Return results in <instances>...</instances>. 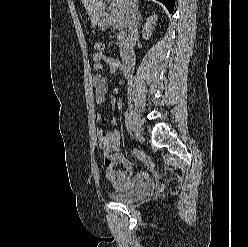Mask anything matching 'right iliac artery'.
<instances>
[{
    "instance_id": "82829eb1",
    "label": "right iliac artery",
    "mask_w": 248,
    "mask_h": 247,
    "mask_svg": "<svg viewBox=\"0 0 248 247\" xmlns=\"http://www.w3.org/2000/svg\"><path fill=\"white\" fill-rule=\"evenodd\" d=\"M125 124H126L127 132L131 134V130H132L131 119H130V115L127 112L125 113Z\"/></svg>"
}]
</instances>
